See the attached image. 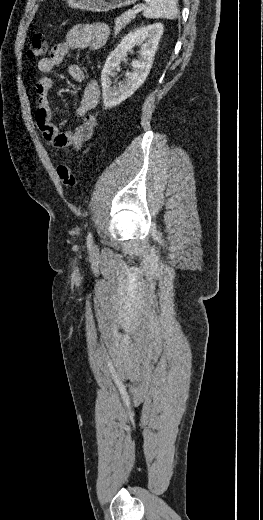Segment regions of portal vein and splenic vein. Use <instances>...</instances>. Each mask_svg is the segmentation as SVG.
<instances>
[{
  "mask_svg": "<svg viewBox=\"0 0 263 520\" xmlns=\"http://www.w3.org/2000/svg\"><path fill=\"white\" fill-rule=\"evenodd\" d=\"M145 8H146V5H140L136 9L132 10V14H137V13L141 12L142 10H144Z\"/></svg>",
  "mask_w": 263,
  "mask_h": 520,
  "instance_id": "18ae733b",
  "label": "portal vein and splenic vein"
}]
</instances>
